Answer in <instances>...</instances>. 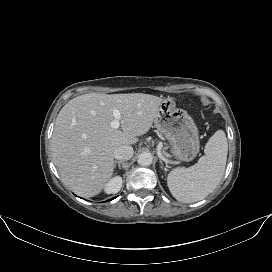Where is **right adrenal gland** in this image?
Here are the masks:
<instances>
[{
  "mask_svg": "<svg viewBox=\"0 0 272 272\" xmlns=\"http://www.w3.org/2000/svg\"><path fill=\"white\" fill-rule=\"evenodd\" d=\"M123 162H124V161H115L114 167L116 168V166L118 165V168L121 169V164H122Z\"/></svg>",
  "mask_w": 272,
  "mask_h": 272,
  "instance_id": "2a0ac1e0",
  "label": "right adrenal gland"
}]
</instances>
